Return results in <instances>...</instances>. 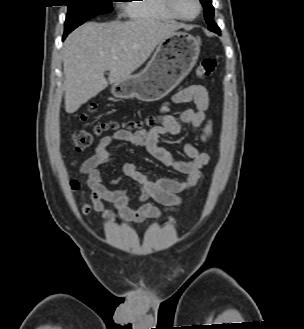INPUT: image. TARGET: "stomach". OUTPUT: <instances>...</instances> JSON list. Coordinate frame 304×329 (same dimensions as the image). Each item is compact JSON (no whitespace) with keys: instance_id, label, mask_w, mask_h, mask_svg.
Returning a JSON list of instances; mask_svg holds the SVG:
<instances>
[{"instance_id":"1","label":"stomach","mask_w":304,"mask_h":329,"mask_svg":"<svg viewBox=\"0 0 304 329\" xmlns=\"http://www.w3.org/2000/svg\"><path fill=\"white\" fill-rule=\"evenodd\" d=\"M200 54V43L186 32L163 39L147 66L137 75L113 84L111 93L119 99L136 97L154 102L171 92L191 71Z\"/></svg>"}]
</instances>
